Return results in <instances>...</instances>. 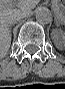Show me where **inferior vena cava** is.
<instances>
[{
  "label": "inferior vena cava",
  "instance_id": "602c4592",
  "mask_svg": "<svg viewBox=\"0 0 65 89\" xmlns=\"http://www.w3.org/2000/svg\"><path fill=\"white\" fill-rule=\"evenodd\" d=\"M25 15H20L18 17H15L12 21H11V24L13 25L14 23H16L17 21H19L20 19L24 18Z\"/></svg>",
  "mask_w": 65,
  "mask_h": 89
}]
</instances>
